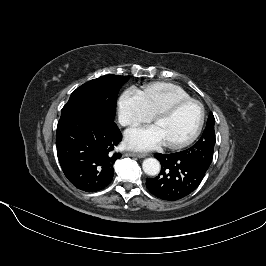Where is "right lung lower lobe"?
Listing matches in <instances>:
<instances>
[{
    "label": "right lung lower lobe",
    "instance_id": "1",
    "mask_svg": "<svg viewBox=\"0 0 266 266\" xmlns=\"http://www.w3.org/2000/svg\"><path fill=\"white\" fill-rule=\"evenodd\" d=\"M122 135L117 125L96 117H61L56 133L57 156L66 178L78 189L96 192L113 179L121 157L114 147Z\"/></svg>",
    "mask_w": 266,
    "mask_h": 266
}]
</instances>
